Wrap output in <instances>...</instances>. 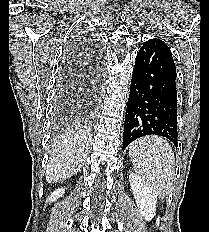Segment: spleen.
Listing matches in <instances>:
<instances>
[{
    "instance_id": "obj_1",
    "label": "spleen",
    "mask_w": 209,
    "mask_h": 232,
    "mask_svg": "<svg viewBox=\"0 0 209 232\" xmlns=\"http://www.w3.org/2000/svg\"><path fill=\"white\" fill-rule=\"evenodd\" d=\"M129 156L136 174L165 197L175 176V159L170 144L162 137H143L130 145Z\"/></svg>"
}]
</instances>
